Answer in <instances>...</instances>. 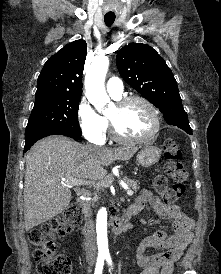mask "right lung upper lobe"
Here are the masks:
<instances>
[{"label":"right lung upper lobe","mask_w":221,"mask_h":274,"mask_svg":"<svg viewBox=\"0 0 221 274\" xmlns=\"http://www.w3.org/2000/svg\"><path fill=\"white\" fill-rule=\"evenodd\" d=\"M86 47L84 40H76L47 60L38 77L36 99L81 96Z\"/></svg>","instance_id":"right-lung-upper-lobe-1"}]
</instances>
